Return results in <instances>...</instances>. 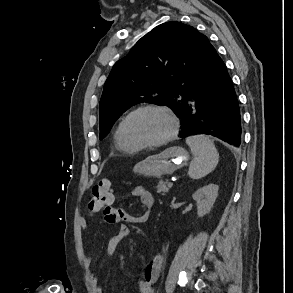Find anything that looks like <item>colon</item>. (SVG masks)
<instances>
[{"mask_svg": "<svg viewBox=\"0 0 293 293\" xmlns=\"http://www.w3.org/2000/svg\"><path fill=\"white\" fill-rule=\"evenodd\" d=\"M113 201V189L110 179H102L96 184L88 200V209L91 212H100L107 210Z\"/></svg>", "mask_w": 293, "mask_h": 293, "instance_id": "5ec220e1", "label": "colon"}]
</instances>
